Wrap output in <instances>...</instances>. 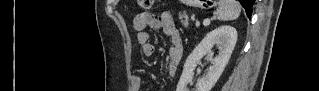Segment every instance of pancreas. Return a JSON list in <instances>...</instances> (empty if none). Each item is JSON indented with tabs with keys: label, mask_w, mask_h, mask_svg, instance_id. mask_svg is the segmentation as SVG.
Here are the masks:
<instances>
[{
	"label": "pancreas",
	"mask_w": 319,
	"mask_h": 91,
	"mask_svg": "<svg viewBox=\"0 0 319 91\" xmlns=\"http://www.w3.org/2000/svg\"><path fill=\"white\" fill-rule=\"evenodd\" d=\"M179 19L184 26H188V16L186 14L179 13Z\"/></svg>",
	"instance_id": "pancreas-1"
}]
</instances>
